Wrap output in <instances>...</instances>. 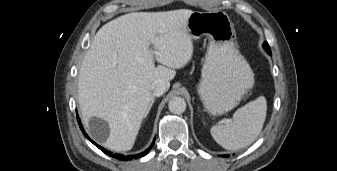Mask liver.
Listing matches in <instances>:
<instances>
[{"instance_id": "1", "label": "liver", "mask_w": 337, "mask_h": 171, "mask_svg": "<svg viewBox=\"0 0 337 171\" xmlns=\"http://www.w3.org/2000/svg\"><path fill=\"white\" fill-rule=\"evenodd\" d=\"M192 13H129L96 33L80 68L78 101L87 127L92 117L108 123L104 147L130 150L153 100L151 84L161 80L169 87L175 69L190 61L193 42L187 21ZM155 60L162 65L156 67Z\"/></svg>"}]
</instances>
